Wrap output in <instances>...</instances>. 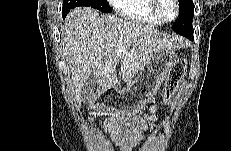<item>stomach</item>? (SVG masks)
<instances>
[{"instance_id": "obj_1", "label": "stomach", "mask_w": 231, "mask_h": 151, "mask_svg": "<svg viewBox=\"0 0 231 151\" xmlns=\"http://www.w3.org/2000/svg\"><path fill=\"white\" fill-rule=\"evenodd\" d=\"M176 61L174 50L159 49L153 52L139 73L122 90H111L108 105L122 114L135 115L157 93Z\"/></svg>"}]
</instances>
